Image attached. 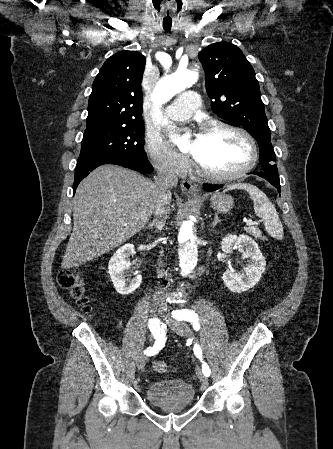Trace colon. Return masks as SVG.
I'll return each instance as SVG.
<instances>
[{
  "label": "colon",
  "mask_w": 333,
  "mask_h": 449,
  "mask_svg": "<svg viewBox=\"0 0 333 449\" xmlns=\"http://www.w3.org/2000/svg\"><path fill=\"white\" fill-rule=\"evenodd\" d=\"M57 280L62 288L70 291L78 304L88 308L90 300L86 295L81 274L70 269H63L59 272ZM153 369L157 373H166L168 366L165 362L157 361L153 364Z\"/></svg>",
  "instance_id": "1"
}]
</instances>
